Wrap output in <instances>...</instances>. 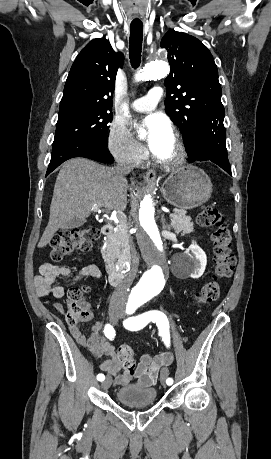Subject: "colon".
<instances>
[{
	"label": "colon",
	"mask_w": 271,
	"mask_h": 459,
	"mask_svg": "<svg viewBox=\"0 0 271 459\" xmlns=\"http://www.w3.org/2000/svg\"><path fill=\"white\" fill-rule=\"evenodd\" d=\"M197 223L202 227L213 228L211 242L213 245L214 276L216 279L230 277L234 266L235 256L232 253V236L224 215L214 207L205 208L197 217ZM95 228H75L64 231L53 237L51 241L50 257L54 261H61L77 251H87L98 238ZM86 287H74L68 291L67 322L76 325L79 320L86 318L90 311L84 301ZM220 287L212 281L203 286L201 291L194 296L196 305L214 302L219 298ZM118 357L126 370L135 368L134 351L128 345L118 349Z\"/></svg>",
	"instance_id": "5ec220e1"
}]
</instances>
